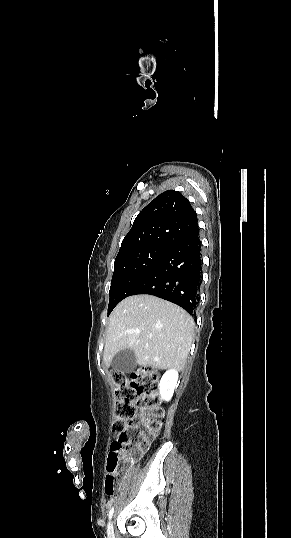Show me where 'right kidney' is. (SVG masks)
Returning a JSON list of instances; mask_svg holds the SVG:
<instances>
[{"label":"right kidney","mask_w":291,"mask_h":538,"mask_svg":"<svg viewBox=\"0 0 291 538\" xmlns=\"http://www.w3.org/2000/svg\"><path fill=\"white\" fill-rule=\"evenodd\" d=\"M178 381V371L176 369L167 370L159 383L160 397L164 401H169L174 393Z\"/></svg>","instance_id":"1"}]
</instances>
